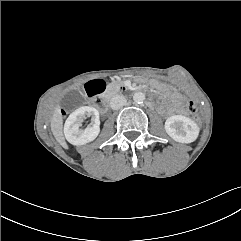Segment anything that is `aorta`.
<instances>
[{
  "instance_id": "762f6f07",
  "label": "aorta",
  "mask_w": 241,
  "mask_h": 241,
  "mask_svg": "<svg viewBox=\"0 0 241 241\" xmlns=\"http://www.w3.org/2000/svg\"><path fill=\"white\" fill-rule=\"evenodd\" d=\"M144 99H145V94L142 92H136L133 95L134 102H136L138 104L142 103Z\"/></svg>"
}]
</instances>
